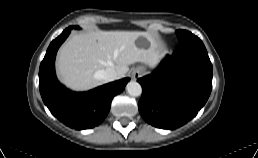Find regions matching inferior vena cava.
I'll list each match as a JSON object with an SVG mask.
<instances>
[{"label":"inferior vena cava","mask_w":258,"mask_h":158,"mask_svg":"<svg viewBox=\"0 0 258 158\" xmlns=\"http://www.w3.org/2000/svg\"><path fill=\"white\" fill-rule=\"evenodd\" d=\"M100 77L105 82H110L117 79V72L113 68L108 67L100 73Z\"/></svg>","instance_id":"obj_1"}]
</instances>
